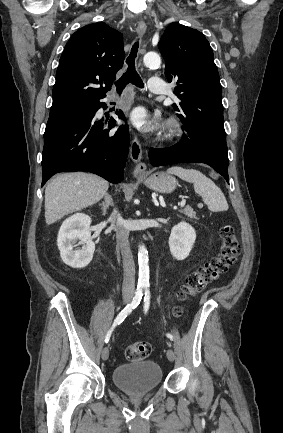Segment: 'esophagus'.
Here are the masks:
<instances>
[{"mask_svg": "<svg viewBox=\"0 0 283 433\" xmlns=\"http://www.w3.org/2000/svg\"><path fill=\"white\" fill-rule=\"evenodd\" d=\"M146 28L145 22H138L136 32L143 36L146 33ZM129 153L132 161L136 164L134 174L144 172L146 170V165L142 162V148L136 137L131 141Z\"/></svg>", "mask_w": 283, "mask_h": 433, "instance_id": "esophagus-1", "label": "esophagus"}]
</instances>
